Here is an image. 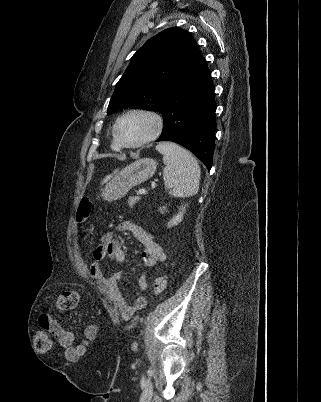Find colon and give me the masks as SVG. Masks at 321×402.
<instances>
[{
    "mask_svg": "<svg viewBox=\"0 0 321 402\" xmlns=\"http://www.w3.org/2000/svg\"><path fill=\"white\" fill-rule=\"evenodd\" d=\"M93 203L88 198H82L79 202L76 221L82 224L88 220L92 211ZM166 278L158 276L153 283V290L156 294H161L166 288ZM79 295L75 290H66L60 293L57 299V308L60 311H71L77 307ZM35 347L38 351H49L52 347V338L46 331L40 330L35 334Z\"/></svg>",
    "mask_w": 321,
    "mask_h": 402,
    "instance_id": "1",
    "label": "colon"
}]
</instances>
